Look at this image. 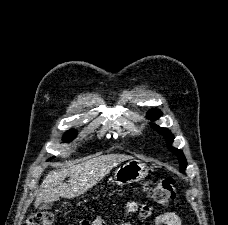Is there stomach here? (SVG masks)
<instances>
[{"label": "stomach", "instance_id": "obj_1", "mask_svg": "<svg viewBox=\"0 0 228 225\" xmlns=\"http://www.w3.org/2000/svg\"><path fill=\"white\" fill-rule=\"evenodd\" d=\"M149 167L137 159H131L127 161L125 165H121L119 169H116L114 179L116 185H130V183H139L147 177Z\"/></svg>", "mask_w": 228, "mask_h": 225}]
</instances>
